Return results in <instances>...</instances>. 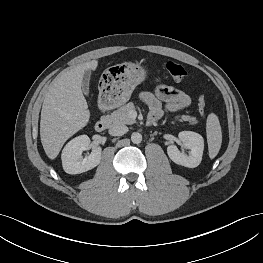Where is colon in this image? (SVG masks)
Returning a JSON list of instances; mask_svg holds the SVG:
<instances>
[{
    "instance_id": "5ec220e1",
    "label": "colon",
    "mask_w": 263,
    "mask_h": 263,
    "mask_svg": "<svg viewBox=\"0 0 263 263\" xmlns=\"http://www.w3.org/2000/svg\"><path fill=\"white\" fill-rule=\"evenodd\" d=\"M162 67L163 70L174 80L183 81L188 76L185 68L173 61H165ZM205 107H206L205 98L203 95H200L198 98V108H199V112L202 115L205 113Z\"/></svg>"
}]
</instances>
